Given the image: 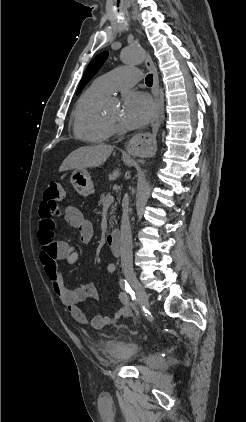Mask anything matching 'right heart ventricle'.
<instances>
[{
    "label": "right heart ventricle",
    "mask_w": 246,
    "mask_h": 422,
    "mask_svg": "<svg viewBox=\"0 0 246 422\" xmlns=\"http://www.w3.org/2000/svg\"><path fill=\"white\" fill-rule=\"evenodd\" d=\"M107 95L93 85L82 93L73 111L75 136L90 143H102L111 133V126L101 113V104Z\"/></svg>",
    "instance_id": "right-heart-ventricle-1"
}]
</instances>
